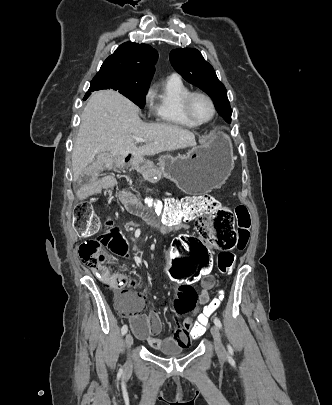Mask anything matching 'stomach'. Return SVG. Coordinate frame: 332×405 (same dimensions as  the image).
I'll list each match as a JSON object with an SVG mask.
<instances>
[{"label":"stomach","instance_id":"0dacf381","mask_svg":"<svg viewBox=\"0 0 332 405\" xmlns=\"http://www.w3.org/2000/svg\"><path fill=\"white\" fill-rule=\"evenodd\" d=\"M158 170L185 193L198 195L220 187L233 167L232 145L220 134L212 143L195 147L184 156L159 158Z\"/></svg>","mask_w":332,"mask_h":405}]
</instances>
